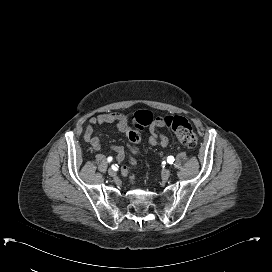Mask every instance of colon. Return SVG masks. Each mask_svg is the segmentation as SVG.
I'll list each match as a JSON object with an SVG mask.
<instances>
[{
  "instance_id": "obj_1",
  "label": "colon",
  "mask_w": 272,
  "mask_h": 272,
  "mask_svg": "<svg viewBox=\"0 0 272 272\" xmlns=\"http://www.w3.org/2000/svg\"><path fill=\"white\" fill-rule=\"evenodd\" d=\"M149 115L146 113H135L131 116L130 122L134 128H142L149 121ZM163 125L171 129L178 140L187 148L193 149L197 144V136L187 119L181 116H168L162 119ZM140 134L132 130L129 134L131 146H136L140 141ZM131 181H135V175L130 174Z\"/></svg>"
}]
</instances>
